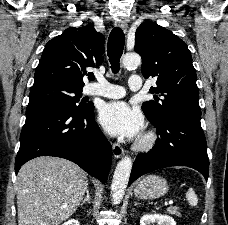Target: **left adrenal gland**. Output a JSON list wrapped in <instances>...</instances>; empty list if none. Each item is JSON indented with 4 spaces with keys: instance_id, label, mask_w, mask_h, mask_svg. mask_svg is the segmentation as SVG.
I'll list each match as a JSON object with an SVG mask.
<instances>
[{
    "instance_id": "obj_1",
    "label": "left adrenal gland",
    "mask_w": 228,
    "mask_h": 225,
    "mask_svg": "<svg viewBox=\"0 0 228 225\" xmlns=\"http://www.w3.org/2000/svg\"><path fill=\"white\" fill-rule=\"evenodd\" d=\"M137 205H140V203H135L134 207H137Z\"/></svg>"
}]
</instances>
